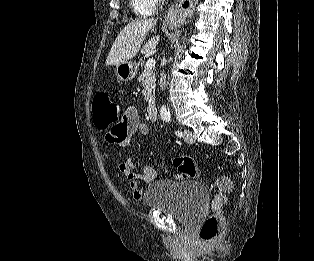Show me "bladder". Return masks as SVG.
<instances>
[{
	"instance_id": "bladder-1",
	"label": "bladder",
	"mask_w": 314,
	"mask_h": 261,
	"mask_svg": "<svg viewBox=\"0 0 314 261\" xmlns=\"http://www.w3.org/2000/svg\"><path fill=\"white\" fill-rule=\"evenodd\" d=\"M144 202L186 225H195L208 206V189L196 181L159 180L147 188Z\"/></svg>"
}]
</instances>
